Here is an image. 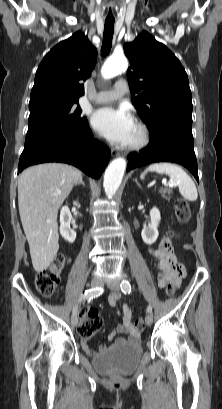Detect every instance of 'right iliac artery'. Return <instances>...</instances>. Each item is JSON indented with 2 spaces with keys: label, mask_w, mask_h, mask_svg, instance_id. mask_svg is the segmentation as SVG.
Instances as JSON below:
<instances>
[{
  "label": "right iliac artery",
  "mask_w": 222,
  "mask_h": 409,
  "mask_svg": "<svg viewBox=\"0 0 222 409\" xmlns=\"http://www.w3.org/2000/svg\"><path fill=\"white\" fill-rule=\"evenodd\" d=\"M103 292H104V289L102 287H97V288L86 290L84 294H82L81 297L79 298L78 303L81 302L82 300H91L93 298H96L100 296ZM77 311H78V304H76L73 307V315H77Z\"/></svg>",
  "instance_id": "obj_1"
}]
</instances>
